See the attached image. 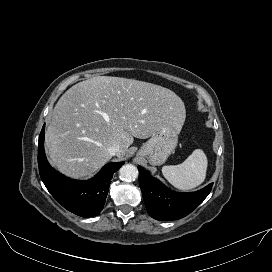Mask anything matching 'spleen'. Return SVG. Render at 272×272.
I'll return each mask as SVG.
<instances>
[{
    "label": "spleen",
    "mask_w": 272,
    "mask_h": 272,
    "mask_svg": "<svg viewBox=\"0 0 272 272\" xmlns=\"http://www.w3.org/2000/svg\"><path fill=\"white\" fill-rule=\"evenodd\" d=\"M207 165V157L203 150L196 149L183 163L163 166L162 173L177 189L191 190L204 182Z\"/></svg>",
    "instance_id": "spleen-1"
}]
</instances>
